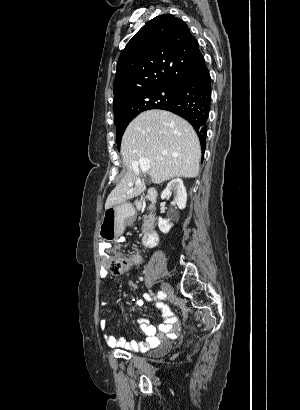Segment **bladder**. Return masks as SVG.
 <instances>
[{"label":"bladder","instance_id":"31cf9c89","mask_svg":"<svg viewBox=\"0 0 300 410\" xmlns=\"http://www.w3.org/2000/svg\"><path fill=\"white\" fill-rule=\"evenodd\" d=\"M173 348V344L171 341H165L159 345L156 349L159 355H167Z\"/></svg>","mask_w":300,"mask_h":410}]
</instances>
